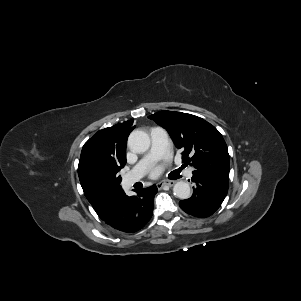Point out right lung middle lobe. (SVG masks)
Returning <instances> with one entry per match:
<instances>
[{
	"label": "right lung middle lobe",
	"mask_w": 301,
	"mask_h": 301,
	"mask_svg": "<svg viewBox=\"0 0 301 301\" xmlns=\"http://www.w3.org/2000/svg\"><path fill=\"white\" fill-rule=\"evenodd\" d=\"M122 167L105 162H90L78 172L84 194L89 201L106 204L115 200L122 192Z\"/></svg>",
	"instance_id": "1"
}]
</instances>
